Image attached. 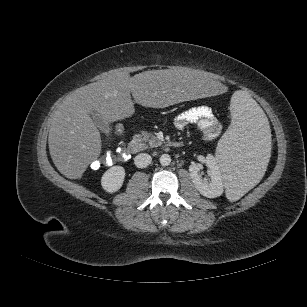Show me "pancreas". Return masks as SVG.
<instances>
[{
  "instance_id": "1",
  "label": "pancreas",
  "mask_w": 307,
  "mask_h": 307,
  "mask_svg": "<svg viewBox=\"0 0 307 307\" xmlns=\"http://www.w3.org/2000/svg\"><path fill=\"white\" fill-rule=\"evenodd\" d=\"M131 144L137 145L138 150H145L148 147H158L162 144V142L156 136L143 131L142 133L133 137Z\"/></svg>"
}]
</instances>
